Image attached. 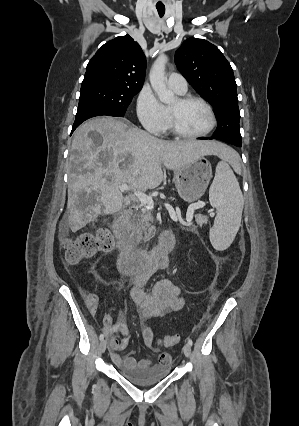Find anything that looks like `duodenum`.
<instances>
[{"label":"duodenum","instance_id":"obj_1","mask_svg":"<svg viewBox=\"0 0 299 426\" xmlns=\"http://www.w3.org/2000/svg\"><path fill=\"white\" fill-rule=\"evenodd\" d=\"M113 228L118 238V267L126 275H135L153 261L167 257L175 245L173 232L165 230L154 248L151 250L137 249L129 229L126 212L114 219Z\"/></svg>","mask_w":299,"mask_h":426}]
</instances>
